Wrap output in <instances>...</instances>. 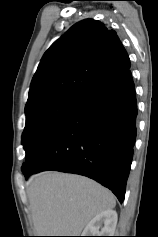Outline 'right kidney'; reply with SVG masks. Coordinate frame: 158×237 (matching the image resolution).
Here are the masks:
<instances>
[{"label": "right kidney", "instance_id": "right-kidney-1", "mask_svg": "<svg viewBox=\"0 0 158 237\" xmlns=\"http://www.w3.org/2000/svg\"><path fill=\"white\" fill-rule=\"evenodd\" d=\"M117 224L115 210H106L96 215L85 227L81 236H114Z\"/></svg>", "mask_w": 158, "mask_h": 237}]
</instances>
